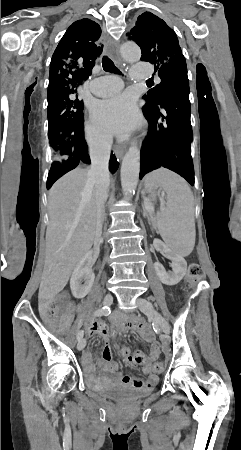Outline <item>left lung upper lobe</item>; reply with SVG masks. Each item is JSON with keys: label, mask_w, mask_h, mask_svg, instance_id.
Returning <instances> with one entry per match:
<instances>
[{"label": "left lung upper lobe", "mask_w": 241, "mask_h": 450, "mask_svg": "<svg viewBox=\"0 0 241 450\" xmlns=\"http://www.w3.org/2000/svg\"><path fill=\"white\" fill-rule=\"evenodd\" d=\"M142 51L141 61L157 64L161 83L143 96L146 105L160 104L170 92L189 91L185 57L175 32L151 12H144L127 34Z\"/></svg>", "instance_id": "1"}]
</instances>
